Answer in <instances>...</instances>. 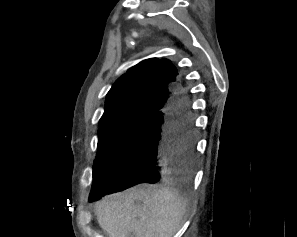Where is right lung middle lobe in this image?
Listing matches in <instances>:
<instances>
[{"label":"right lung middle lobe","instance_id":"right-lung-middle-lobe-1","mask_svg":"<svg viewBox=\"0 0 297 237\" xmlns=\"http://www.w3.org/2000/svg\"><path fill=\"white\" fill-rule=\"evenodd\" d=\"M150 116L135 115L99 127V141L93 167L90 196L113 186L125 158L147 127Z\"/></svg>","mask_w":297,"mask_h":237}]
</instances>
